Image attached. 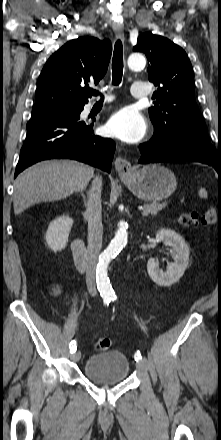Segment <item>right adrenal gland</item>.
Segmentation results:
<instances>
[{
	"instance_id": "1",
	"label": "right adrenal gland",
	"mask_w": 221,
	"mask_h": 440,
	"mask_svg": "<svg viewBox=\"0 0 221 440\" xmlns=\"http://www.w3.org/2000/svg\"><path fill=\"white\" fill-rule=\"evenodd\" d=\"M80 193H81V195H82V197H83L84 205L87 206V199H86V196L84 195L83 192H80Z\"/></svg>"
}]
</instances>
